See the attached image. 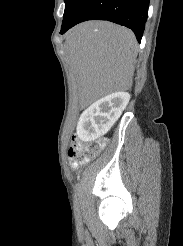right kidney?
Returning a JSON list of instances; mask_svg holds the SVG:
<instances>
[{
    "mask_svg": "<svg viewBox=\"0 0 183 246\" xmlns=\"http://www.w3.org/2000/svg\"><path fill=\"white\" fill-rule=\"evenodd\" d=\"M129 100V93L119 91L93 103L79 118L78 137L83 141H94L106 134L119 119Z\"/></svg>",
    "mask_w": 183,
    "mask_h": 246,
    "instance_id": "ca27d5eb",
    "label": "right kidney"
}]
</instances>
